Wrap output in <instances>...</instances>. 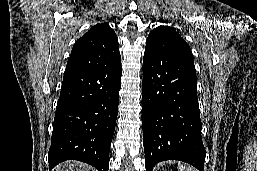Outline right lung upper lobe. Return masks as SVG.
Returning <instances> with one entry per match:
<instances>
[{
	"label": "right lung upper lobe",
	"mask_w": 257,
	"mask_h": 171,
	"mask_svg": "<svg viewBox=\"0 0 257 171\" xmlns=\"http://www.w3.org/2000/svg\"><path fill=\"white\" fill-rule=\"evenodd\" d=\"M120 60L119 44L114 30L107 23H98L75 42L65 74L108 67Z\"/></svg>",
	"instance_id": "right-lung-upper-lobe-1"
}]
</instances>
